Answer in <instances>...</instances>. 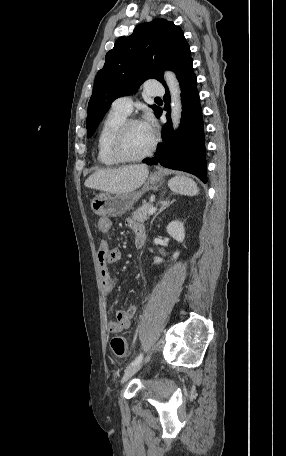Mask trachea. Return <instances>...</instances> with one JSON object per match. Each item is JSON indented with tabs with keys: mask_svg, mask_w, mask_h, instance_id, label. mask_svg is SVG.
Returning a JSON list of instances; mask_svg holds the SVG:
<instances>
[{
	"mask_svg": "<svg viewBox=\"0 0 286 456\" xmlns=\"http://www.w3.org/2000/svg\"><path fill=\"white\" fill-rule=\"evenodd\" d=\"M155 99H160L159 97H156Z\"/></svg>",
	"mask_w": 286,
	"mask_h": 456,
	"instance_id": "obj_1",
	"label": "trachea"
}]
</instances>
